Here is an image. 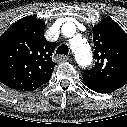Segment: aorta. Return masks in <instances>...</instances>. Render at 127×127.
I'll return each mask as SVG.
<instances>
[{
    "label": "aorta",
    "instance_id": "obj_1",
    "mask_svg": "<svg viewBox=\"0 0 127 127\" xmlns=\"http://www.w3.org/2000/svg\"><path fill=\"white\" fill-rule=\"evenodd\" d=\"M71 27L74 28L73 24H71ZM71 47L75 52V56L79 65L87 67L91 64L93 57L90 46L85 39L80 36H74L71 39Z\"/></svg>",
    "mask_w": 127,
    "mask_h": 127
}]
</instances>
